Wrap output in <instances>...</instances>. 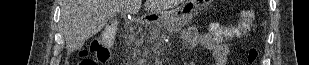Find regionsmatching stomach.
<instances>
[{
	"label": "stomach",
	"instance_id": "1",
	"mask_svg": "<svg viewBox=\"0 0 309 65\" xmlns=\"http://www.w3.org/2000/svg\"><path fill=\"white\" fill-rule=\"evenodd\" d=\"M207 0H185L176 9L165 11L151 17L153 24H166L168 26L182 27L185 23V15H189L204 6Z\"/></svg>",
	"mask_w": 309,
	"mask_h": 65
}]
</instances>
